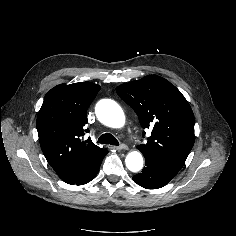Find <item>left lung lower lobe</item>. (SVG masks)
I'll list each match as a JSON object with an SVG mask.
<instances>
[{
  "label": "left lung lower lobe",
  "mask_w": 236,
  "mask_h": 236,
  "mask_svg": "<svg viewBox=\"0 0 236 236\" xmlns=\"http://www.w3.org/2000/svg\"><path fill=\"white\" fill-rule=\"evenodd\" d=\"M145 157V167L142 172L133 176L138 185L147 189H158L171 181L178 172L163 166L156 159Z\"/></svg>",
  "instance_id": "0a47b994"
}]
</instances>
